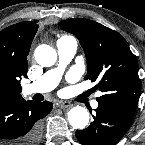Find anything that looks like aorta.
I'll return each mask as SVG.
<instances>
[{
  "instance_id": "762f6f07",
  "label": "aorta",
  "mask_w": 145,
  "mask_h": 145,
  "mask_svg": "<svg viewBox=\"0 0 145 145\" xmlns=\"http://www.w3.org/2000/svg\"><path fill=\"white\" fill-rule=\"evenodd\" d=\"M34 56L37 63L44 67L52 66L57 59L56 51L47 44L39 45L35 49ZM67 116L69 124L76 129H83L89 123V112L81 106L71 108Z\"/></svg>"
}]
</instances>
